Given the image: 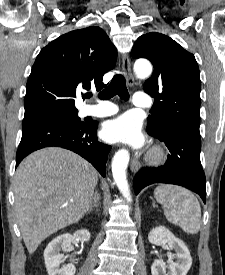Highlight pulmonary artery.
Listing matches in <instances>:
<instances>
[{"label":"pulmonary artery","mask_w":225,"mask_h":275,"mask_svg":"<svg viewBox=\"0 0 225 275\" xmlns=\"http://www.w3.org/2000/svg\"><path fill=\"white\" fill-rule=\"evenodd\" d=\"M133 103L141 108H149L152 105L151 98L144 92H137L134 95ZM117 106L111 103L102 102L98 106H87L83 109V114L87 116L105 117L115 114Z\"/></svg>","instance_id":"obj_1"}]
</instances>
